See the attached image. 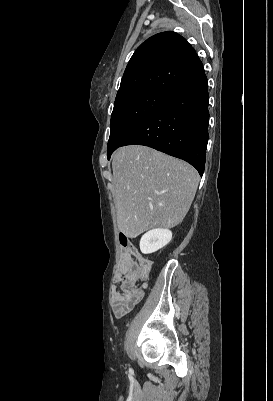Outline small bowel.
I'll return each instance as SVG.
<instances>
[{
	"label": "small bowel",
	"instance_id": "obj_1",
	"mask_svg": "<svg viewBox=\"0 0 273 401\" xmlns=\"http://www.w3.org/2000/svg\"><path fill=\"white\" fill-rule=\"evenodd\" d=\"M122 245L127 246V251L131 252V256H136L137 258L140 257L137 255L136 249L131 243L125 241L122 242ZM121 261L125 260H120V262ZM117 271H121L120 263L116 268L114 278H116ZM141 281L144 282V289H146L147 288L146 280H141ZM143 303H144V296L142 295V292L140 290H134V287L131 284L126 285L125 290L114 291L113 312L117 318H122L123 316L128 314L137 304H143Z\"/></svg>",
	"mask_w": 273,
	"mask_h": 401
}]
</instances>
